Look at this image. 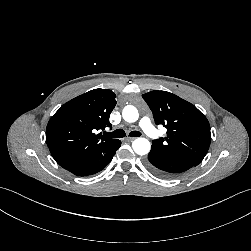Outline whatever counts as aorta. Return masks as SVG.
<instances>
[{"instance_id": "762f6f07", "label": "aorta", "mask_w": 251, "mask_h": 251, "mask_svg": "<svg viewBox=\"0 0 251 251\" xmlns=\"http://www.w3.org/2000/svg\"><path fill=\"white\" fill-rule=\"evenodd\" d=\"M122 116L126 122L133 123L138 120L139 113L136 107L128 105L124 107ZM132 148L136 154L145 155L149 153L151 144L148 139L139 137L132 142Z\"/></svg>"}]
</instances>
